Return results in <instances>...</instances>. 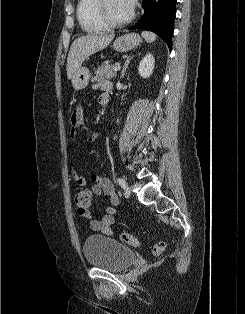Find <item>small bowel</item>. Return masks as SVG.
<instances>
[{
	"instance_id": "c3829d8e",
	"label": "small bowel",
	"mask_w": 245,
	"mask_h": 314,
	"mask_svg": "<svg viewBox=\"0 0 245 314\" xmlns=\"http://www.w3.org/2000/svg\"><path fill=\"white\" fill-rule=\"evenodd\" d=\"M94 89H101L102 93L98 97V102L101 105H105L108 101L104 100L103 97L109 99V91L111 85L108 82H95L92 84ZM70 136L72 140H75L78 134V131L84 126V110L82 106H77L71 113L70 116ZM99 136L98 132L92 131L90 136L86 141H93ZM72 180L73 182L80 186L84 187L87 184L86 178L80 174L76 169L72 170ZM93 185L91 187L90 193L96 196L107 195L110 198V204L105 208L106 214L99 219H93L92 214L88 211L85 214H80L82 217L90 220V229L96 232H100L106 235H113L114 231L112 225L115 221V216L117 214V207L119 206L120 200L117 194L115 193L114 186L108 178L102 177L100 175L92 174L90 176Z\"/></svg>"
}]
</instances>
